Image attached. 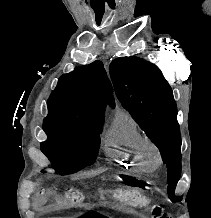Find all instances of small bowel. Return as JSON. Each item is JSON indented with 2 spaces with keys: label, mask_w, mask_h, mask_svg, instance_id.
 I'll return each mask as SVG.
<instances>
[{
  "label": "small bowel",
  "mask_w": 211,
  "mask_h": 218,
  "mask_svg": "<svg viewBox=\"0 0 211 218\" xmlns=\"http://www.w3.org/2000/svg\"><path fill=\"white\" fill-rule=\"evenodd\" d=\"M53 194L54 192L52 191H48V190L41 191L40 193L34 196V201L36 205H43Z\"/></svg>",
  "instance_id": "c3829d8e"
}]
</instances>
